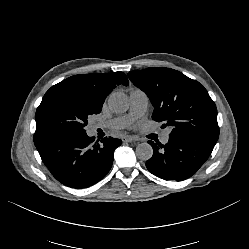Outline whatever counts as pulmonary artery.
Masks as SVG:
<instances>
[{
  "label": "pulmonary artery",
  "instance_id": "e3ab8cb5",
  "mask_svg": "<svg viewBox=\"0 0 249 249\" xmlns=\"http://www.w3.org/2000/svg\"><path fill=\"white\" fill-rule=\"evenodd\" d=\"M148 96L140 90L134 89L130 92V109L129 113L116 119H112L106 123L93 124L91 126V135L96 133L97 128H112L122 129L129 126L135 119L144 115L148 107ZM170 130H165L160 137V141L163 144H167L169 141Z\"/></svg>",
  "mask_w": 249,
  "mask_h": 249
}]
</instances>
